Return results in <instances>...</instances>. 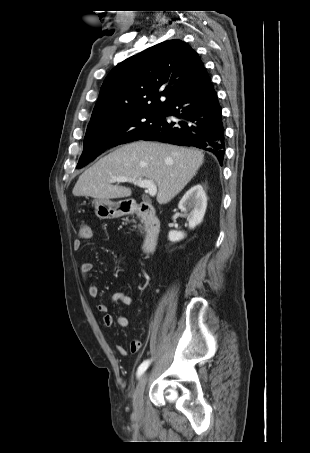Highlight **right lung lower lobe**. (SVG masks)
Here are the masks:
<instances>
[{
	"instance_id": "right-lung-lower-lobe-1",
	"label": "right lung lower lobe",
	"mask_w": 310,
	"mask_h": 453,
	"mask_svg": "<svg viewBox=\"0 0 310 453\" xmlns=\"http://www.w3.org/2000/svg\"><path fill=\"white\" fill-rule=\"evenodd\" d=\"M165 116L177 120L167 121ZM212 152L222 165L225 144L222 109L206 70L163 108L162 120L140 137Z\"/></svg>"
}]
</instances>
